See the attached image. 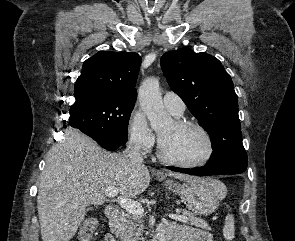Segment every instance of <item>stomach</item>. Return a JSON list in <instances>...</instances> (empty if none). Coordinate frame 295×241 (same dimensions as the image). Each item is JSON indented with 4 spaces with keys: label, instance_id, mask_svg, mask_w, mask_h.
<instances>
[{
    "label": "stomach",
    "instance_id": "obj_1",
    "mask_svg": "<svg viewBox=\"0 0 295 241\" xmlns=\"http://www.w3.org/2000/svg\"><path fill=\"white\" fill-rule=\"evenodd\" d=\"M165 185L181 197L190 211L202 216L215 212L227 191L225 185L215 179H198L183 184L166 181Z\"/></svg>",
    "mask_w": 295,
    "mask_h": 241
}]
</instances>
